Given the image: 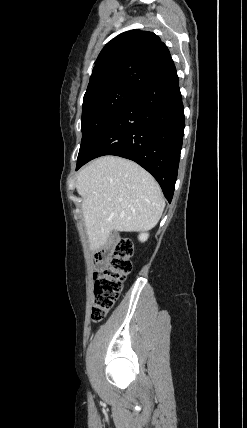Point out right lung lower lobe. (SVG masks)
I'll return each instance as SVG.
<instances>
[{
	"mask_svg": "<svg viewBox=\"0 0 247 428\" xmlns=\"http://www.w3.org/2000/svg\"><path fill=\"white\" fill-rule=\"evenodd\" d=\"M184 107L175 66L141 90L100 131L78 158L116 155L137 162L172 200L184 134Z\"/></svg>",
	"mask_w": 247,
	"mask_h": 428,
	"instance_id": "98d812e1",
	"label": "right lung lower lobe"
}]
</instances>
